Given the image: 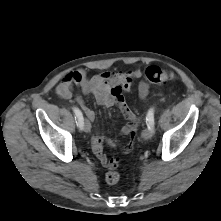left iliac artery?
I'll list each match as a JSON object with an SVG mask.
<instances>
[{"label":"left iliac artery","instance_id":"obj_1","mask_svg":"<svg viewBox=\"0 0 221 221\" xmlns=\"http://www.w3.org/2000/svg\"><path fill=\"white\" fill-rule=\"evenodd\" d=\"M146 123L148 128L154 129V108L149 109L146 116Z\"/></svg>","mask_w":221,"mask_h":221}]
</instances>
